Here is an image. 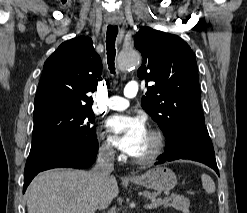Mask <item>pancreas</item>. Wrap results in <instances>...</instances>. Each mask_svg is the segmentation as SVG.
<instances>
[{
  "label": "pancreas",
  "mask_w": 247,
  "mask_h": 213,
  "mask_svg": "<svg viewBox=\"0 0 247 213\" xmlns=\"http://www.w3.org/2000/svg\"><path fill=\"white\" fill-rule=\"evenodd\" d=\"M144 197L154 201L156 200V193H151L148 191H144L143 192ZM189 205H190V201L188 198H185L182 195H177V194H173L172 195V199L168 200L164 203V207H172L176 210H180L183 213H188L189 212Z\"/></svg>",
  "instance_id": "obj_1"
}]
</instances>
